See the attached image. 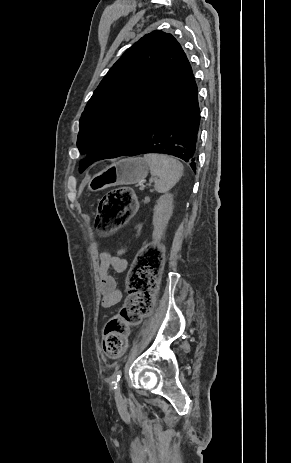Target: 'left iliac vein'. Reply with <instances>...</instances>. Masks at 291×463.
Masks as SVG:
<instances>
[{
	"instance_id": "left-iliac-vein-1",
	"label": "left iliac vein",
	"mask_w": 291,
	"mask_h": 463,
	"mask_svg": "<svg viewBox=\"0 0 291 463\" xmlns=\"http://www.w3.org/2000/svg\"><path fill=\"white\" fill-rule=\"evenodd\" d=\"M115 399L118 405L122 404L123 399L120 391V386L118 385V388L115 391Z\"/></svg>"
}]
</instances>
